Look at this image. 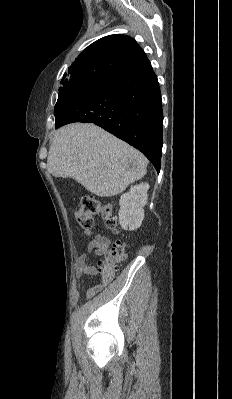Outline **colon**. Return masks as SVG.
I'll return each mask as SVG.
<instances>
[{"label":"colon","mask_w":232,"mask_h":399,"mask_svg":"<svg viewBox=\"0 0 232 399\" xmlns=\"http://www.w3.org/2000/svg\"><path fill=\"white\" fill-rule=\"evenodd\" d=\"M103 208V199L84 198L81 200V211L74 210V225H79L84 231V236H89V231H94L93 219L106 218V225L108 229L113 230L117 228V210H114V203H106ZM108 264L105 268L96 269V283L92 284V289L96 292L107 289L106 283L113 282V263L114 271H119V259L125 260L129 258V249L125 248L123 244H110L108 249ZM105 273V274H103Z\"/></svg>","instance_id":"colon-1"}]
</instances>
